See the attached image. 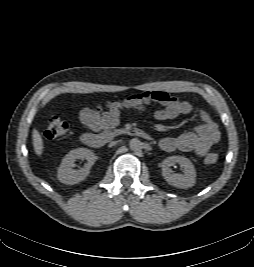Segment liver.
<instances>
[{"instance_id": "obj_1", "label": "liver", "mask_w": 254, "mask_h": 267, "mask_svg": "<svg viewBox=\"0 0 254 267\" xmlns=\"http://www.w3.org/2000/svg\"><path fill=\"white\" fill-rule=\"evenodd\" d=\"M32 143H33V148H34V152L37 156H41L43 153V139L40 135V133L38 132V130L33 129L32 132Z\"/></svg>"}]
</instances>
